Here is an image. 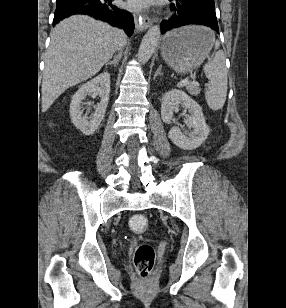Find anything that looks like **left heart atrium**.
<instances>
[{
    "label": "left heart atrium",
    "instance_id": "39dd6f15",
    "mask_svg": "<svg viewBox=\"0 0 286 308\" xmlns=\"http://www.w3.org/2000/svg\"><path fill=\"white\" fill-rule=\"evenodd\" d=\"M148 3V0H130L129 6L134 9H139L144 7Z\"/></svg>",
    "mask_w": 286,
    "mask_h": 308
}]
</instances>
